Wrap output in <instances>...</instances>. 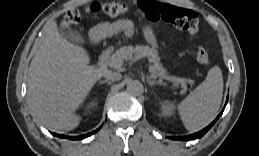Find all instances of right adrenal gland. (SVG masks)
I'll use <instances>...</instances> for the list:
<instances>
[{
	"label": "right adrenal gland",
	"mask_w": 259,
	"mask_h": 156,
	"mask_svg": "<svg viewBox=\"0 0 259 156\" xmlns=\"http://www.w3.org/2000/svg\"><path fill=\"white\" fill-rule=\"evenodd\" d=\"M103 83H107L108 85H110L112 84V81H108V80L99 81V84H103Z\"/></svg>",
	"instance_id": "2a0ac1e0"
}]
</instances>
